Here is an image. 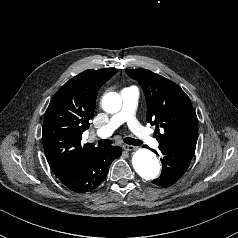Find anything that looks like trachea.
<instances>
[{"mask_svg":"<svg viewBox=\"0 0 238 238\" xmlns=\"http://www.w3.org/2000/svg\"><path fill=\"white\" fill-rule=\"evenodd\" d=\"M124 142L129 144V145H135V146H139V145L142 144V142L140 140L133 139V138H130V137L124 138ZM110 144H112V142L109 139H100L98 141L99 146H106V145H110Z\"/></svg>","mask_w":238,"mask_h":238,"instance_id":"trachea-1","label":"trachea"}]
</instances>
